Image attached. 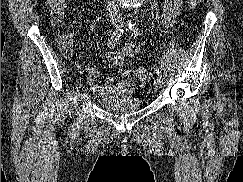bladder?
<instances>
[{
  "instance_id": "obj_1",
  "label": "bladder",
  "mask_w": 243,
  "mask_h": 182,
  "mask_svg": "<svg viewBox=\"0 0 243 182\" xmlns=\"http://www.w3.org/2000/svg\"><path fill=\"white\" fill-rule=\"evenodd\" d=\"M100 106L104 111L112 114H126L138 111L142 102L138 96L130 95L117 100L101 99Z\"/></svg>"
}]
</instances>
